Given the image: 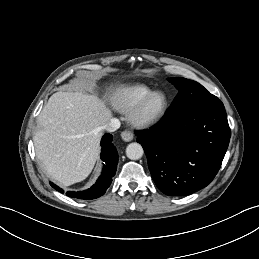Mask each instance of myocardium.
I'll use <instances>...</instances> for the list:
<instances>
[{"instance_id":"myocardium-1","label":"myocardium","mask_w":259,"mask_h":259,"mask_svg":"<svg viewBox=\"0 0 259 259\" xmlns=\"http://www.w3.org/2000/svg\"><path fill=\"white\" fill-rule=\"evenodd\" d=\"M156 95H161L163 98V106L159 112L153 115H146L145 108L151 98ZM169 106L167 95L161 90L149 92L143 97L130 111L128 121L131 125L137 128H146L159 122L166 114Z\"/></svg>"}]
</instances>
